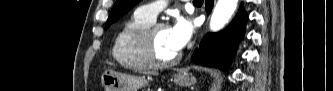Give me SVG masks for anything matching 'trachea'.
I'll list each match as a JSON object with an SVG mask.
<instances>
[{
	"label": "trachea",
	"instance_id": "obj_1",
	"mask_svg": "<svg viewBox=\"0 0 333 91\" xmlns=\"http://www.w3.org/2000/svg\"><path fill=\"white\" fill-rule=\"evenodd\" d=\"M193 2L203 3V0H194Z\"/></svg>",
	"mask_w": 333,
	"mask_h": 91
}]
</instances>
